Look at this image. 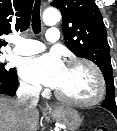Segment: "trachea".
Here are the masks:
<instances>
[{"label": "trachea", "instance_id": "obj_1", "mask_svg": "<svg viewBox=\"0 0 117 131\" xmlns=\"http://www.w3.org/2000/svg\"><path fill=\"white\" fill-rule=\"evenodd\" d=\"M40 5L41 0H36L32 13V29L34 34L41 32Z\"/></svg>", "mask_w": 117, "mask_h": 131}]
</instances>
